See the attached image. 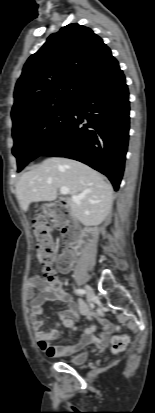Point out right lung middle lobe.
Returning <instances> with one entry per match:
<instances>
[{"label": "right lung middle lobe", "instance_id": "1", "mask_svg": "<svg viewBox=\"0 0 155 413\" xmlns=\"http://www.w3.org/2000/svg\"><path fill=\"white\" fill-rule=\"evenodd\" d=\"M73 110L74 103L64 104L13 127L12 153L17 158L18 172L59 138Z\"/></svg>", "mask_w": 155, "mask_h": 413}]
</instances>
